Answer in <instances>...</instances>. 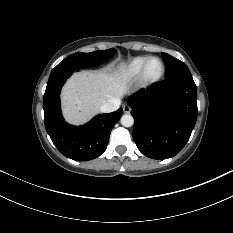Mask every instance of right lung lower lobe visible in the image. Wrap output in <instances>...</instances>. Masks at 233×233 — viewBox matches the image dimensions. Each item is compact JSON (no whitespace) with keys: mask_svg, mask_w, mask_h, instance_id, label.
Masks as SVG:
<instances>
[{"mask_svg":"<svg viewBox=\"0 0 233 233\" xmlns=\"http://www.w3.org/2000/svg\"><path fill=\"white\" fill-rule=\"evenodd\" d=\"M75 70L51 72L43 98L45 128L56 148L66 157L88 161L106 149L111 130L122 115V109L100 114L83 126L67 124L60 110V91Z\"/></svg>","mask_w":233,"mask_h":233,"instance_id":"obj_1","label":"right lung lower lobe"}]
</instances>
